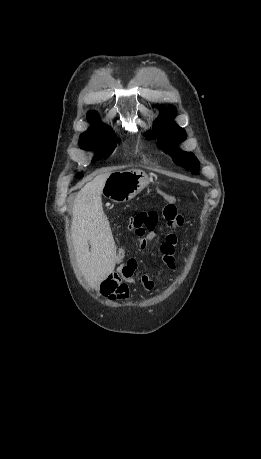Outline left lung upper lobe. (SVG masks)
<instances>
[{
  "label": "left lung upper lobe",
  "instance_id": "obj_1",
  "mask_svg": "<svg viewBox=\"0 0 261 459\" xmlns=\"http://www.w3.org/2000/svg\"><path fill=\"white\" fill-rule=\"evenodd\" d=\"M162 112L153 125V130L146 133L148 139L157 138L160 147L164 148L166 153L171 155L173 161L192 173H197L199 168V161L197 158L188 152L179 151L173 152L174 146L182 142L186 138L185 130L180 128L173 121L176 113L174 106H168L165 109L160 108Z\"/></svg>",
  "mask_w": 261,
  "mask_h": 459
}]
</instances>
